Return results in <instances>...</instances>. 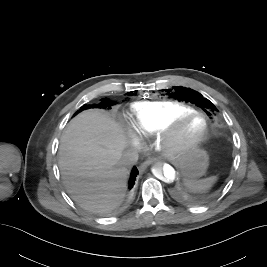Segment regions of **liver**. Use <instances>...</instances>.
I'll return each mask as SVG.
<instances>
[{
    "mask_svg": "<svg viewBox=\"0 0 267 267\" xmlns=\"http://www.w3.org/2000/svg\"><path fill=\"white\" fill-rule=\"evenodd\" d=\"M126 146L122 128L99 110H86L70 121L61 137L58 164L74 201L98 213L121 204L129 173L122 160Z\"/></svg>",
    "mask_w": 267,
    "mask_h": 267,
    "instance_id": "liver-1",
    "label": "liver"
}]
</instances>
